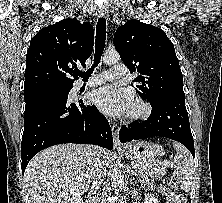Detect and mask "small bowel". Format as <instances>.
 <instances>
[{
  "instance_id": "small-bowel-1",
  "label": "small bowel",
  "mask_w": 222,
  "mask_h": 203,
  "mask_svg": "<svg viewBox=\"0 0 222 203\" xmlns=\"http://www.w3.org/2000/svg\"><path fill=\"white\" fill-rule=\"evenodd\" d=\"M166 199L168 203H181V200L179 197L174 196L172 194L166 193Z\"/></svg>"
}]
</instances>
